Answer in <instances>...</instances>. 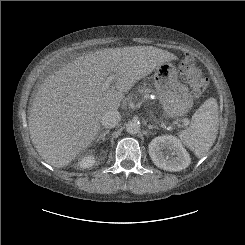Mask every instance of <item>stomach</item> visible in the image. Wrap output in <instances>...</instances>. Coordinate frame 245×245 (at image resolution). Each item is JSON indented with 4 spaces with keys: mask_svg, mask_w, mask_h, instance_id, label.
Masks as SVG:
<instances>
[{
    "mask_svg": "<svg viewBox=\"0 0 245 245\" xmlns=\"http://www.w3.org/2000/svg\"><path fill=\"white\" fill-rule=\"evenodd\" d=\"M178 77L176 67L169 62L159 65L153 74L157 98L165 117L170 119L185 115L193 106L188 87Z\"/></svg>",
    "mask_w": 245,
    "mask_h": 245,
    "instance_id": "1",
    "label": "stomach"
}]
</instances>
